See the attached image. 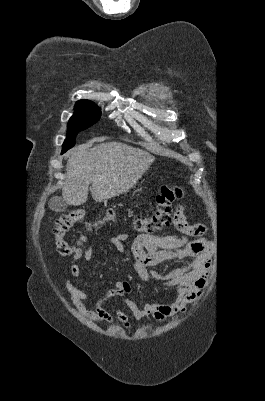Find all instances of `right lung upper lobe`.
<instances>
[{"mask_svg":"<svg viewBox=\"0 0 265 401\" xmlns=\"http://www.w3.org/2000/svg\"><path fill=\"white\" fill-rule=\"evenodd\" d=\"M83 105H94V103L90 100H79L75 104V106H83Z\"/></svg>","mask_w":265,"mask_h":401,"instance_id":"obj_1","label":"right lung upper lobe"}]
</instances>
